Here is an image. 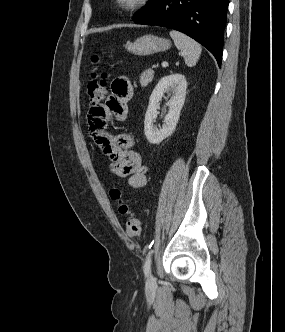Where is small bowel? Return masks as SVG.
Here are the masks:
<instances>
[{"label": "small bowel", "instance_id": "small-bowel-1", "mask_svg": "<svg viewBox=\"0 0 285 332\" xmlns=\"http://www.w3.org/2000/svg\"><path fill=\"white\" fill-rule=\"evenodd\" d=\"M111 91L104 104L89 109V130L110 161L113 172L120 177H127L129 187L140 188L147 183V169L141 155L134 150L133 136L129 133L110 135L104 130L108 122L127 118L133 87L127 77L118 76L111 83Z\"/></svg>", "mask_w": 285, "mask_h": 332}]
</instances>
